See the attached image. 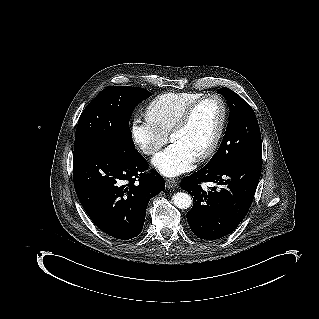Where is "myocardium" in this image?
<instances>
[{"instance_id": "1", "label": "myocardium", "mask_w": 319, "mask_h": 319, "mask_svg": "<svg viewBox=\"0 0 319 319\" xmlns=\"http://www.w3.org/2000/svg\"><path fill=\"white\" fill-rule=\"evenodd\" d=\"M208 101H213L217 104V106H218V120H217V125L215 128V131H214L209 143L202 150L195 153V155L199 159H204V158L208 157L209 155H211L216 150V148H217V146L222 138V134L224 131V126H225V120H226V108H225L224 102L220 96H218L216 94L207 95V96L202 97L200 100L195 102L193 105H191L182 114V116L178 119L176 124L173 126L172 133H171V137L173 138L174 135L186 125V123L188 122L190 116L195 111V109L198 108L203 103L208 102Z\"/></svg>"}]
</instances>
